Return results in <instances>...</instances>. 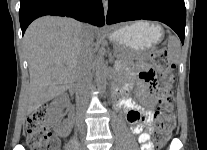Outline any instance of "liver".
<instances>
[{"instance_id": "6515ba94", "label": "liver", "mask_w": 207, "mask_h": 150, "mask_svg": "<svg viewBox=\"0 0 207 150\" xmlns=\"http://www.w3.org/2000/svg\"><path fill=\"white\" fill-rule=\"evenodd\" d=\"M96 29L72 18L41 17L24 35L30 84L24 97L26 115L64 93L74 82L82 36Z\"/></svg>"}]
</instances>
